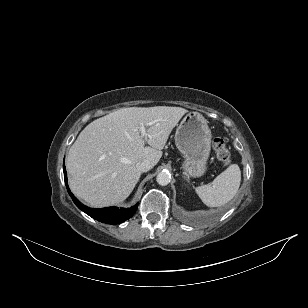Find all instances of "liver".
I'll return each instance as SVG.
<instances>
[{"instance_id": "1", "label": "liver", "mask_w": 308, "mask_h": 308, "mask_svg": "<svg viewBox=\"0 0 308 308\" xmlns=\"http://www.w3.org/2000/svg\"><path fill=\"white\" fill-rule=\"evenodd\" d=\"M187 112L169 106L121 108L88 124L67 155L71 191L92 207L123 202L141 176L136 164L159 162L171 131Z\"/></svg>"}]
</instances>
